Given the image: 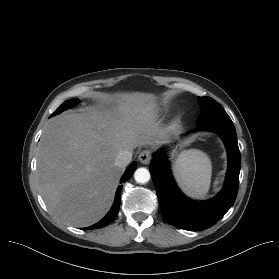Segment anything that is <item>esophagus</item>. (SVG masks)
<instances>
[{"mask_svg":"<svg viewBox=\"0 0 279 279\" xmlns=\"http://www.w3.org/2000/svg\"><path fill=\"white\" fill-rule=\"evenodd\" d=\"M152 155L150 150H143L140 152L138 159L142 164H149L151 161Z\"/></svg>","mask_w":279,"mask_h":279,"instance_id":"obj_1","label":"esophagus"}]
</instances>
